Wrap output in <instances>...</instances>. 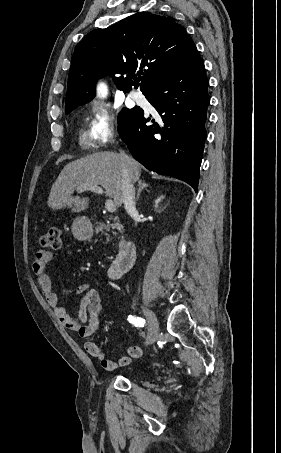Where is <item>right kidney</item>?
<instances>
[{
	"instance_id": "right-kidney-1",
	"label": "right kidney",
	"mask_w": 281,
	"mask_h": 453,
	"mask_svg": "<svg viewBox=\"0 0 281 453\" xmlns=\"http://www.w3.org/2000/svg\"><path fill=\"white\" fill-rule=\"evenodd\" d=\"M161 198H163V196H159V198H156L155 202V206H158V202H160Z\"/></svg>"
}]
</instances>
